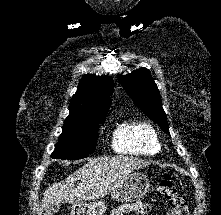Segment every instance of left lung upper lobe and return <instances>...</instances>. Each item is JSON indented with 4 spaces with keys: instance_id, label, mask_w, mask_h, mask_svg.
<instances>
[{
    "instance_id": "5c2ea615",
    "label": "left lung upper lobe",
    "mask_w": 221,
    "mask_h": 215,
    "mask_svg": "<svg viewBox=\"0 0 221 215\" xmlns=\"http://www.w3.org/2000/svg\"><path fill=\"white\" fill-rule=\"evenodd\" d=\"M120 84L135 104L164 132L169 133L166 114L162 108L161 96L150 71L140 68L126 76H118Z\"/></svg>"
}]
</instances>
